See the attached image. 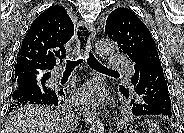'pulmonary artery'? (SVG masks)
I'll list each match as a JSON object with an SVG mask.
<instances>
[{
	"label": "pulmonary artery",
	"mask_w": 184,
	"mask_h": 133,
	"mask_svg": "<svg viewBox=\"0 0 184 133\" xmlns=\"http://www.w3.org/2000/svg\"><path fill=\"white\" fill-rule=\"evenodd\" d=\"M109 69L111 70H122L127 71L129 76L133 75V70L131 68V63L127 57L123 55H114L109 57ZM60 78V74H55L54 79L58 80Z\"/></svg>",
	"instance_id": "obj_1"
}]
</instances>
